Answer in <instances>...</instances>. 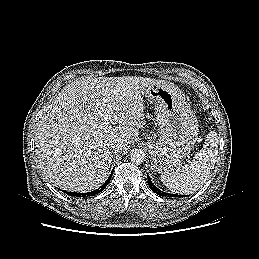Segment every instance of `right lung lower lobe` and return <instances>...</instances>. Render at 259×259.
<instances>
[{
	"label": "right lung lower lobe",
	"instance_id": "98d812e1",
	"mask_svg": "<svg viewBox=\"0 0 259 259\" xmlns=\"http://www.w3.org/2000/svg\"><path fill=\"white\" fill-rule=\"evenodd\" d=\"M113 173V172H112ZM112 173L110 174L109 178L106 180V182L100 186L98 189L92 191V192H88V193H73V192H66L68 195H73V196H76V197H83V196H93L95 194H98L100 193L102 190L105 189V187L108 185V183L110 182V179H111V175Z\"/></svg>",
	"mask_w": 259,
	"mask_h": 259
}]
</instances>
